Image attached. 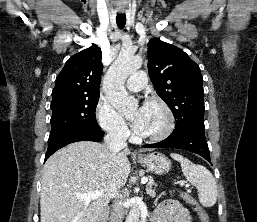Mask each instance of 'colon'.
<instances>
[{"mask_svg": "<svg viewBox=\"0 0 257 222\" xmlns=\"http://www.w3.org/2000/svg\"><path fill=\"white\" fill-rule=\"evenodd\" d=\"M181 197L183 200H185L186 202L193 205V207L195 208V210L197 211V213L199 215L201 222H209V218H208V215L206 214V212L196 204L194 198L190 194H188L186 192H181Z\"/></svg>", "mask_w": 257, "mask_h": 222, "instance_id": "5ec220e1", "label": "colon"}]
</instances>
